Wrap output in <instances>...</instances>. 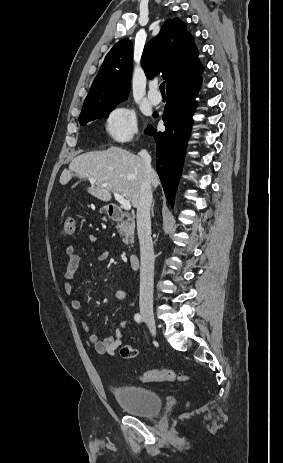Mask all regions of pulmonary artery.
Segmentation results:
<instances>
[{
    "label": "pulmonary artery",
    "instance_id": "1",
    "mask_svg": "<svg viewBox=\"0 0 283 463\" xmlns=\"http://www.w3.org/2000/svg\"><path fill=\"white\" fill-rule=\"evenodd\" d=\"M158 85L157 83H152L150 85V90L148 92V100L152 105H158L161 102V96L157 92Z\"/></svg>",
    "mask_w": 283,
    "mask_h": 463
}]
</instances>
